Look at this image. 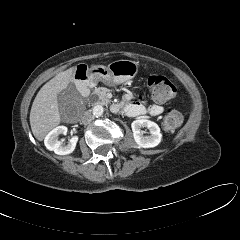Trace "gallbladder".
I'll list each match as a JSON object with an SVG mask.
<instances>
[{
    "mask_svg": "<svg viewBox=\"0 0 240 240\" xmlns=\"http://www.w3.org/2000/svg\"><path fill=\"white\" fill-rule=\"evenodd\" d=\"M80 98L75 86L70 83L66 89L60 92L57 96L60 114L62 117L71 109L76 107Z\"/></svg>",
    "mask_w": 240,
    "mask_h": 240,
    "instance_id": "bac80fb5",
    "label": "gallbladder"
}]
</instances>
